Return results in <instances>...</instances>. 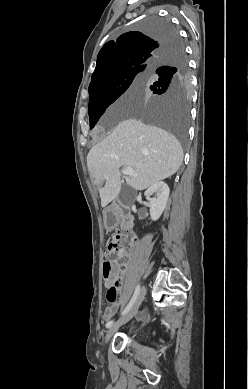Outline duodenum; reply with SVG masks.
Listing matches in <instances>:
<instances>
[{"label": "duodenum", "mask_w": 248, "mask_h": 389, "mask_svg": "<svg viewBox=\"0 0 248 389\" xmlns=\"http://www.w3.org/2000/svg\"><path fill=\"white\" fill-rule=\"evenodd\" d=\"M108 213L113 215L111 220L106 218ZM104 221L110 230L114 229L119 221L121 222V225L124 229L131 230L133 227L134 217L133 215L126 213L122 205L116 204L105 212Z\"/></svg>", "instance_id": "obj_1"}]
</instances>
